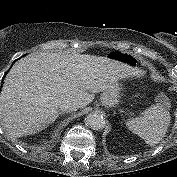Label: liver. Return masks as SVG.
<instances>
[{
  "label": "liver",
  "instance_id": "obj_1",
  "mask_svg": "<svg viewBox=\"0 0 177 177\" xmlns=\"http://www.w3.org/2000/svg\"><path fill=\"white\" fill-rule=\"evenodd\" d=\"M144 72L116 59L88 54L32 53L14 63L0 94V119L9 137L34 134L55 121L59 106L84 108L117 81Z\"/></svg>",
  "mask_w": 177,
  "mask_h": 177
}]
</instances>
